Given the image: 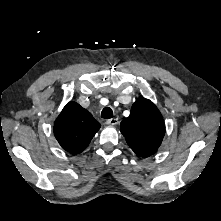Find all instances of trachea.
Segmentation results:
<instances>
[{
	"instance_id": "3493384b",
	"label": "trachea",
	"mask_w": 221,
	"mask_h": 221,
	"mask_svg": "<svg viewBox=\"0 0 221 221\" xmlns=\"http://www.w3.org/2000/svg\"><path fill=\"white\" fill-rule=\"evenodd\" d=\"M101 117L104 119H111L113 117V111L110 107H105L101 112Z\"/></svg>"
}]
</instances>
